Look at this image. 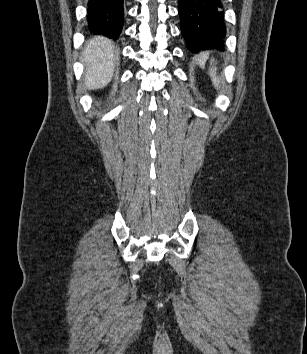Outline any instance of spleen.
<instances>
[{
  "instance_id": "3e777b00",
  "label": "spleen",
  "mask_w": 307,
  "mask_h": 354,
  "mask_svg": "<svg viewBox=\"0 0 307 354\" xmlns=\"http://www.w3.org/2000/svg\"><path fill=\"white\" fill-rule=\"evenodd\" d=\"M206 58H207L206 53H202L197 57V61L201 67H204ZM211 65H213V66L215 65L214 59L211 60ZM213 66L210 68L209 73H210L211 80L213 82L214 87H218L219 86V79L216 76V67H213Z\"/></svg>"
}]
</instances>
